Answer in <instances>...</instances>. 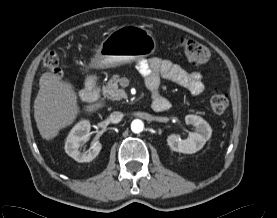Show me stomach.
Here are the masks:
<instances>
[{
	"label": "stomach",
	"mask_w": 277,
	"mask_h": 218,
	"mask_svg": "<svg viewBox=\"0 0 277 218\" xmlns=\"http://www.w3.org/2000/svg\"><path fill=\"white\" fill-rule=\"evenodd\" d=\"M155 50L156 41L143 26L123 25L110 32L101 42L92 58L91 66L114 68L153 54Z\"/></svg>",
	"instance_id": "1"
}]
</instances>
